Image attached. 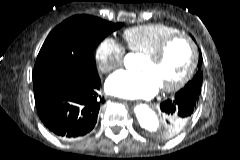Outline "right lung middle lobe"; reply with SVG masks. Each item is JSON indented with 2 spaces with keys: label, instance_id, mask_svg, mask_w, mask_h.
Returning <instances> with one entry per match:
<instances>
[{
  "label": "right lung middle lobe",
  "instance_id": "dd1d6c3e",
  "mask_svg": "<svg viewBox=\"0 0 240 160\" xmlns=\"http://www.w3.org/2000/svg\"><path fill=\"white\" fill-rule=\"evenodd\" d=\"M122 26L89 15L70 17L46 38L34 66L33 79L51 70L82 78L97 74L93 50L109 33Z\"/></svg>",
  "mask_w": 240,
  "mask_h": 160
}]
</instances>
